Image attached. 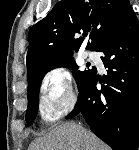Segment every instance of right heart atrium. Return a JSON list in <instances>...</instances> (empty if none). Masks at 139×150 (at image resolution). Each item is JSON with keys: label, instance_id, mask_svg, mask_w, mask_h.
I'll use <instances>...</instances> for the list:
<instances>
[{"label": "right heart atrium", "instance_id": "obj_1", "mask_svg": "<svg viewBox=\"0 0 139 150\" xmlns=\"http://www.w3.org/2000/svg\"><path fill=\"white\" fill-rule=\"evenodd\" d=\"M76 103L72 77L64 68H53L42 78L39 109L44 120L53 122L67 114Z\"/></svg>", "mask_w": 139, "mask_h": 150}]
</instances>
